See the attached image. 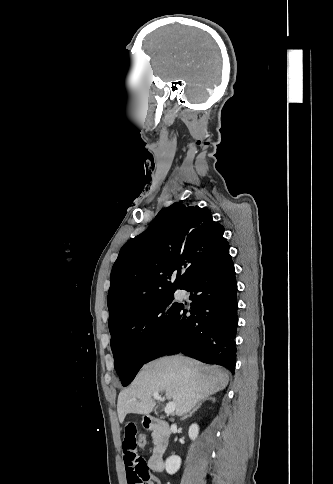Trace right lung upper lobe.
I'll list each match as a JSON object with an SVG mask.
<instances>
[{"mask_svg":"<svg viewBox=\"0 0 333 484\" xmlns=\"http://www.w3.org/2000/svg\"><path fill=\"white\" fill-rule=\"evenodd\" d=\"M208 209L176 202L121 248L111 271L109 326L133 309L185 287L225 247Z\"/></svg>","mask_w":333,"mask_h":484,"instance_id":"1","label":"right lung upper lobe"}]
</instances>
